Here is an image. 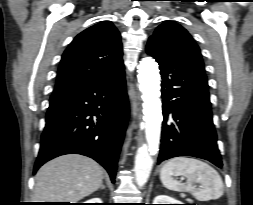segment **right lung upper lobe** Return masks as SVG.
<instances>
[{
  "label": "right lung upper lobe",
  "instance_id": "cb5924a9",
  "mask_svg": "<svg viewBox=\"0 0 253 205\" xmlns=\"http://www.w3.org/2000/svg\"><path fill=\"white\" fill-rule=\"evenodd\" d=\"M120 34L109 21L89 27L63 53L55 90L100 80L123 68Z\"/></svg>",
  "mask_w": 253,
  "mask_h": 205
}]
</instances>
